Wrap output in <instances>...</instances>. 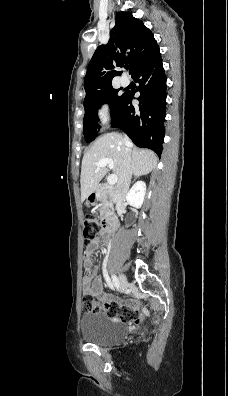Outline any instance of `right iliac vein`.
<instances>
[{
    "label": "right iliac vein",
    "instance_id": "63e3f726",
    "mask_svg": "<svg viewBox=\"0 0 228 396\" xmlns=\"http://www.w3.org/2000/svg\"><path fill=\"white\" fill-rule=\"evenodd\" d=\"M119 285L121 290H124L127 286V278L124 274H119Z\"/></svg>",
    "mask_w": 228,
    "mask_h": 396
}]
</instances>
